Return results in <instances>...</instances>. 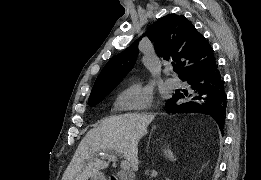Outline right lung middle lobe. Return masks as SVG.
Returning a JSON list of instances; mask_svg holds the SVG:
<instances>
[{
	"label": "right lung middle lobe",
	"instance_id": "dd1d6c3e",
	"mask_svg": "<svg viewBox=\"0 0 261 180\" xmlns=\"http://www.w3.org/2000/svg\"><path fill=\"white\" fill-rule=\"evenodd\" d=\"M106 95H103V96H97V97H94V98H90L88 100V105L93 107L94 105L98 104L99 102H101L104 98H105Z\"/></svg>",
	"mask_w": 261,
	"mask_h": 180
}]
</instances>
